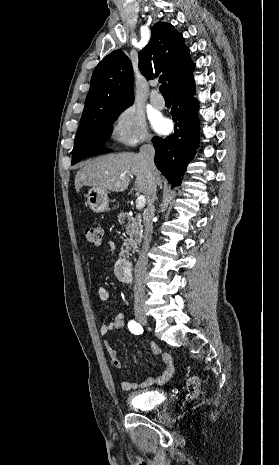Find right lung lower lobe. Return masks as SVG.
Instances as JSON below:
<instances>
[{"mask_svg":"<svg viewBox=\"0 0 279 465\" xmlns=\"http://www.w3.org/2000/svg\"><path fill=\"white\" fill-rule=\"evenodd\" d=\"M194 92L193 76L188 77L171 92L174 134L165 139L154 137L152 140L156 151L155 164L172 186L180 185L186 166L198 147V103L194 98Z\"/></svg>","mask_w":279,"mask_h":465,"instance_id":"obj_1","label":"right lung lower lobe"}]
</instances>
